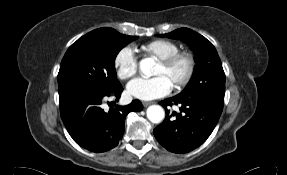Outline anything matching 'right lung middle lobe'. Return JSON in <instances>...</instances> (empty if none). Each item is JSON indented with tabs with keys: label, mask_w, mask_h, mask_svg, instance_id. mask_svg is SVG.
Listing matches in <instances>:
<instances>
[{
	"label": "right lung middle lobe",
	"mask_w": 287,
	"mask_h": 175,
	"mask_svg": "<svg viewBox=\"0 0 287 175\" xmlns=\"http://www.w3.org/2000/svg\"><path fill=\"white\" fill-rule=\"evenodd\" d=\"M136 38L105 27L79 38L62 59L58 73L59 95L73 90L111 93L119 89L115 58Z\"/></svg>",
	"instance_id": "right-lung-middle-lobe-1"
}]
</instances>
